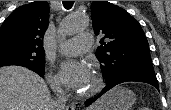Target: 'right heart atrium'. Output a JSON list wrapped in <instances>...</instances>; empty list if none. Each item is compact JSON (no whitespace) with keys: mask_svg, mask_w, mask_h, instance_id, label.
<instances>
[{"mask_svg":"<svg viewBox=\"0 0 171 110\" xmlns=\"http://www.w3.org/2000/svg\"><path fill=\"white\" fill-rule=\"evenodd\" d=\"M47 79H48V82H49L50 86L56 92H61L62 91V86H61V83H60V80H59L58 76H56L53 73H49Z\"/></svg>","mask_w":171,"mask_h":110,"instance_id":"d8ad5b80","label":"right heart atrium"}]
</instances>
